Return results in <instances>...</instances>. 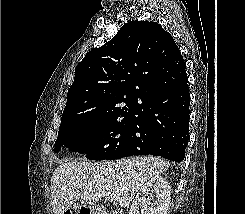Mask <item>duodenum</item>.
Returning a JSON list of instances; mask_svg holds the SVG:
<instances>
[{
    "label": "duodenum",
    "mask_w": 245,
    "mask_h": 214,
    "mask_svg": "<svg viewBox=\"0 0 245 214\" xmlns=\"http://www.w3.org/2000/svg\"><path fill=\"white\" fill-rule=\"evenodd\" d=\"M85 214H108V213L104 207H92L90 209H87V213Z\"/></svg>",
    "instance_id": "duodenum-1"
}]
</instances>
